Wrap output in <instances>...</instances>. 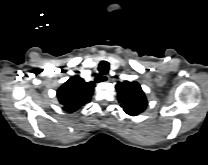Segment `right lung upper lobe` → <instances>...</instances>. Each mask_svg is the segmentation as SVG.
Wrapping results in <instances>:
<instances>
[{
  "label": "right lung upper lobe",
  "mask_w": 208,
  "mask_h": 165,
  "mask_svg": "<svg viewBox=\"0 0 208 165\" xmlns=\"http://www.w3.org/2000/svg\"><path fill=\"white\" fill-rule=\"evenodd\" d=\"M94 87L93 82H85L81 77L74 76L58 89L57 97L63 109L73 113L90 101Z\"/></svg>",
  "instance_id": "right-lung-upper-lobe-1"
}]
</instances>
